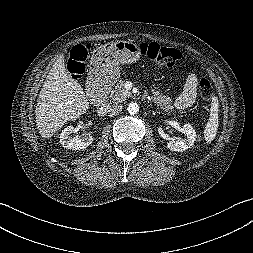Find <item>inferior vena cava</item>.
Wrapping results in <instances>:
<instances>
[{
    "mask_svg": "<svg viewBox=\"0 0 253 253\" xmlns=\"http://www.w3.org/2000/svg\"><path fill=\"white\" fill-rule=\"evenodd\" d=\"M104 112H108L110 117L116 116L118 115L122 109L123 106L122 105H118V103L114 104L113 107H110L107 104H103V106L100 108V110H103Z\"/></svg>",
    "mask_w": 253,
    "mask_h": 253,
    "instance_id": "1",
    "label": "inferior vena cava"
}]
</instances>
